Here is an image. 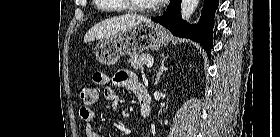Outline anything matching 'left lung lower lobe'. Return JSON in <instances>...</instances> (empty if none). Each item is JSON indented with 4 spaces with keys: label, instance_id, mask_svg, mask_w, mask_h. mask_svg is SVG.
<instances>
[{
    "label": "left lung lower lobe",
    "instance_id": "0a47b994",
    "mask_svg": "<svg viewBox=\"0 0 280 137\" xmlns=\"http://www.w3.org/2000/svg\"><path fill=\"white\" fill-rule=\"evenodd\" d=\"M180 6L181 0H171L166 13L162 17H154L152 20L169 29L177 37L190 38L199 42L206 50L209 58H211L212 30L218 0H204L201 18L197 25H189L182 20Z\"/></svg>",
    "mask_w": 280,
    "mask_h": 137
}]
</instances>
